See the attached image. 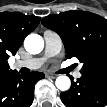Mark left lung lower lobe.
<instances>
[{
    "instance_id": "1",
    "label": "left lung lower lobe",
    "mask_w": 107,
    "mask_h": 107,
    "mask_svg": "<svg viewBox=\"0 0 107 107\" xmlns=\"http://www.w3.org/2000/svg\"><path fill=\"white\" fill-rule=\"evenodd\" d=\"M60 97L66 107H105L107 81L82 75Z\"/></svg>"
}]
</instances>
